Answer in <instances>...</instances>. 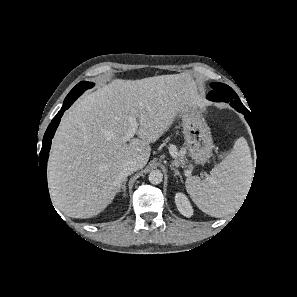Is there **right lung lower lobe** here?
Here are the masks:
<instances>
[{"mask_svg":"<svg viewBox=\"0 0 297 297\" xmlns=\"http://www.w3.org/2000/svg\"><path fill=\"white\" fill-rule=\"evenodd\" d=\"M69 107H70L69 105H65L64 107L61 108V110L57 113V115L52 119V122L49 124L45 132V135L43 137V143H42V148H41L38 162H39V170H40L41 178L43 181V188H45L44 190H46L48 196H49V192L47 187L46 168H47L49 151L51 147V139L53 138L54 133L59 125L60 118L62 117L64 111Z\"/></svg>","mask_w":297,"mask_h":297,"instance_id":"98d812e1","label":"right lung lower lobe"}]
</instances>
